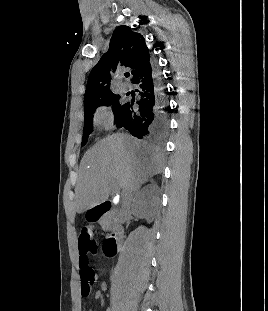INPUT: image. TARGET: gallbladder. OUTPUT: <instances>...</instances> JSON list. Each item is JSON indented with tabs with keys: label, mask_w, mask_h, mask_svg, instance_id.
Wrapping results in <instances>:
<instances>
[{
	"label": "gallbladder",
	"mask_w": 268,
	"mask_h": 311,
	"mask_svg": "<svg viewBox=\"0 0 268 311\" xmlns=\"http://www.w3.org/2000/svg\"><path fill=\"white\" fill-rule=\"evenodd\" d=\"M112 204L113 206H122L123 201L122 199H113Z\"/></svg>",
	"instance_id": "1"
}]
</instances>
